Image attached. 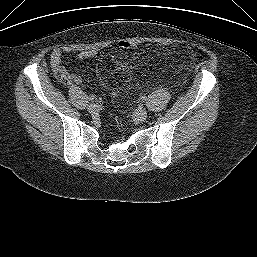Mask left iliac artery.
Segmentation results:
<instances>
[{
    "label": "left iliac artery",
    "instance_id": "left-iliac-artery-1",
    "mask_svg": "<svg viewBox=\"0 0 257 257\" xmlns=\"http://www.w3.org/2000/svg\"><path fill=\"white\" fill-rule=\"evenodd\" d=\"M141 100H142V101H146V100H147V97L143 96V97H141Z\"/></svg>",
    "mask_w": 257,
    "mask_h": 257
}]
</instances>
